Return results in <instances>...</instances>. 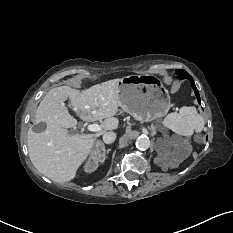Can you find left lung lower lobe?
I'll return each instance as SVG.
<instances>
[{
  "instance_id": "left-lung-lower-lobe-1",
  "label": "left lung lower lobe",
  "mask_w": 233,
  "mask_h": 233,
  "mask_svg": "<svg viewBox=\"0 0 233 233\" xmlns=\"http://www.w3.org/2000/svg\"><path fill=\"white\" fill-rule=\"evenodd\" d=\"M177 75H178L179 79L187 78V79L190 80L192 88L194 89L195 95L197 96L198 103L200 104V95H199L198 90H197V88L195 86L193 78L187 72L179 73Z\"/></svg>"
}]
</instances>
